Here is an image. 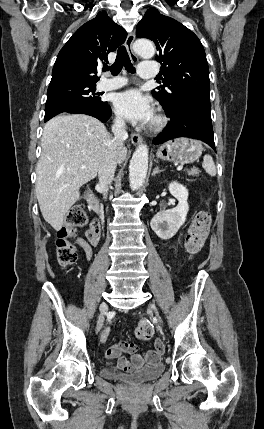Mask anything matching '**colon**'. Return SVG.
Returning a JSON list of instances; mask_svg holds the SVG:
<instances>
[{
	"instance_id": "obj_1",
	"label": "colon",
	"mask_w": 264,
	"mask_h": 429,
	"mask_svg": "<svg viewBox=\"0 0 264 429\" xmlns=\"http://www.w3.org/2000/svg\"><path fill=\"white\" fill-rule=\"evenodd\" d=\"M86 223L87 216L80 206L73 207L66 214L64 224L57 232L56 241L57 260L61 267L69 268L76 262V247L70 239L75 235L78 228L83 227ZM210 223L211 215L207 210H200L196 213L185 238L184 245L189 254L194 255L202 249ZM135 333L140 340H148L153 336V325L146 320L140 321L136 326ZM155 345L158 349L164 348L161 340L156 341Z\"/></svg>"
}]
</instances>
